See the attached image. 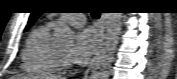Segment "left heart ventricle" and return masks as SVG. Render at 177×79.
Wrapping results in <instances>:
<instances>
[{
  "mask_svg": "<svg viewBox=\"0 0 177 79\" xmlns=\"http://www.w3.org/2000/svg\"><path fill=\"white\" fill-rule=\"evenodd\" d=\"M69 27L73 30H76L80 27L79 24H74V25H69ZM64 54H66L67 56L70 54L71 51V47H64L60 49Z\"/></svg>",
  "mask_w": 177,
  "mask_h": 79,
  "instance_id": "obj_1",
  "label": "left heart ventricle"
}]
</instances>
